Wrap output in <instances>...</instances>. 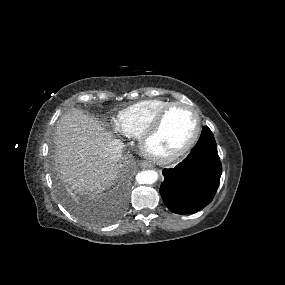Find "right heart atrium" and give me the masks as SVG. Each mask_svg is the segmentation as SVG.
Wrapping results in <instances>:
<instances>
[{"label": "right heart atrium", "mask_w": 285, "mask_h": 285, "mask_svg": "<svg viewBox=\"0 0 285 285\" xmlns=\"http://www.w3.org/2000/svg\"><path fill=\"white\" fill-rule=\"evenodd\" d=\"M113 129H114V131H115L116 133L123 134V133L119 130V128H118L116 122L113 123ZM123 135H124V134H123Z\"/></svg>", "instance_id": "1"}]
</instances>
